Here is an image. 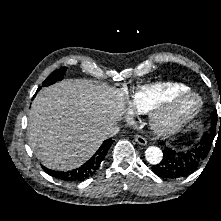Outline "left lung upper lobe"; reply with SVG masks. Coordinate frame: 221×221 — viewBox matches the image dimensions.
<instances>
[{"label": "left lung upper lobe", "mask_w": 221, "mask_h": 221, "mask_svg": "<svg viewBox=\"0 0 221 221\" xmlns=\"http://www.w3.org/2000/svg\"><path fill=\"white\" fill-rule=\"evenodd\" d=\"M211 124L212 125H211L210 133L204 134V136L201 139L200 145L198 147L199 149L204 151V153H205L204 157H207V155H208L206 153L208 152V150H210V148L212 146V143H213V140L215 137L216 128H218V126H219V121L217 119V112L216 111H214V113H213ZM219 129L221 130V117H220Z\"/></svg>", "instance_id": "obj_1"}]
</instances>
